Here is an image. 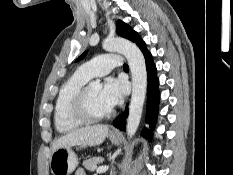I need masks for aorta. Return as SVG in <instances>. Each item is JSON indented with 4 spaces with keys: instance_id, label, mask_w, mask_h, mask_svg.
<instances>
[{
    "instance_id": "obj_1",
    "label": "aorta",
    "mask_w": 233,
    "mask_h": 175,
    "mask_svg": "<svg viewBox=\"0 0 233 175\" xmlns=\"http://www.w3.org/2000/svg\"><path fill=\"white\" fill-rule=\"evenodd\" d=\"M104 50L123 54L129 64L132 76V96L129 106L126 132L129 138L136 133L143 111L146 96L147 72L145 59L140 49L132 42L123 38L106 39L103 42ZM92 88H100L98 81L90 83Z\"/></svg>"
}]
</instances>
